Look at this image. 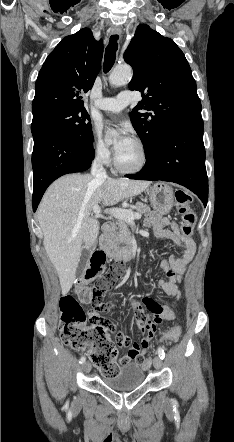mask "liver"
Masks as SVG:
<instances>
[{
  "label": "liver",
  "mask_w": 234,
  "mask_h": 442,
  "mask_svg": "<svg viewBox=\"0 0 234 442\" xmlns=\"http://www.w3.org/2000/svg\"><path fill=\"white\" fill-rule=\"evenodd\" d=\"M150 181L100 180L89 174H71L53 182L38 208L44 248L55 267L62 294L71 289L82 251L89 250L99 234V223L91 217L93 207L112 206L142 193Z\"/></svg>",
  "instance_id": "6515ba94"
}]
</instances>
